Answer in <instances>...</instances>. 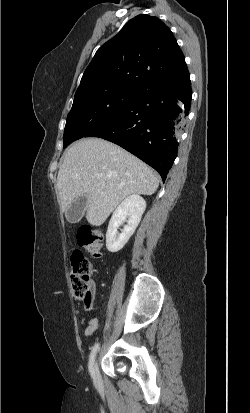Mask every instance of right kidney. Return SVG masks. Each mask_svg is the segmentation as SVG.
<instances>
[{
    "mask_svg": "<svg viewBox=\"0 0 250 413\" xmlns=\"http://www.w3.org/2000/svg\"><path fill=\"white\" fill-rule=\"evenodd\" d=\"M146 208L145 200L138 194H132L126 197L115 209L109 221L106 233V247L110 252H118L128 242L129 238L135 232L142 214ZM123 222L124 226L121 233L117 229Z\"/></svg>",
    "mask_w": 250,
    "mask_h": 413,
    "instance_id": "obj_1",
    "label": "right kidney"
}]
</instances>
